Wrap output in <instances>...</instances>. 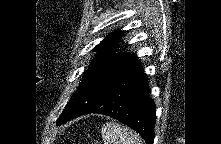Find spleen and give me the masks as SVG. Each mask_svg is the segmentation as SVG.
<instances>
[{"label": "spleen", "mask_w": 221, "mask_h": 144, "mask_svg": "<svg viewBox=\"0 0 221 144\" xmlns=\"http://www.w3.org/2000/svg\"><path fill=\"white\" fill-rule=\"evenodd\" d=\"M101 133L105 144H143L137 133L119 123H105Z\"/></svg>", "instance_id": "3e777b00"}]
</instances>
